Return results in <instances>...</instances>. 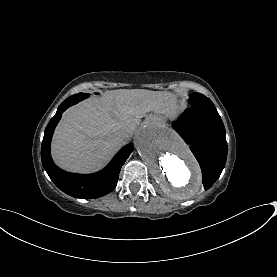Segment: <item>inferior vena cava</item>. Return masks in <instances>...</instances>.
Returning <instances> with one entry per match:
<instances>
[{
  "mask_svg": "<svg viewBox=\"0 0 277 277\" xmlns=\"http://www.w3.org/2000/svg\"><path fill=\"white\" fill-rule=\"evenodd\" d=\"M133 134V130H117L115 132L116 138L121 142L125 143L129 137Z\"/></svg>",
  "mask_w": 277,
  "mask_h": 277,
  "instance_id": "602c4592",
  "label": "inferior vena cava"
}]
</instances>
